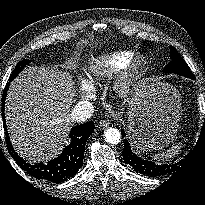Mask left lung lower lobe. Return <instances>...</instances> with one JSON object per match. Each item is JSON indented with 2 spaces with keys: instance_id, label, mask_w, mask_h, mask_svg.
<instances>
[{
  "instance_id": "left-lung-lower-lobe-1",
  "label": "left lung lower lobe",
  "mask_w": 205,
  "mask_h": 205,
  "mask_svg": "<svg viewBox=\"0 0 205 205\" xmlns=\"http://www.w3.org/2000/svg\"><path fill=\"white\" fill-rule=\"evenodd\" d=\"M191 79H195V77H192ZM121 133L123 137H125L124 130H121ZM122 156L127 165L133 167V169L137 172L150 177L165 175L175 168V164L160 166L154 164V162L141 159L135 153H133L129 142L126 139H124V149L122 151Z\"/></svg>"
}]
</instances>
